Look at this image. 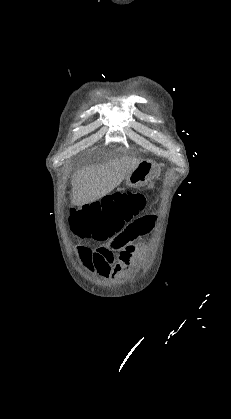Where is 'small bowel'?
<instances>
[{
  "label": "small bowel",
  "mask_w": 231,
  "mask_h": 419,
  "mask_svg": "<svg viewBox=\"0 0 231 419\" xmlns=\"http://www.w3.org/2000/svg\"><path fill=\"white\" fill-rule=\"evenodd\" d=\"M154 224V217L145 216L127 224L108 244L94 251L80 248L78 252L84 267L105 279L125 272L137 257L136 239L148 233ZM115 252L119 253V261L113 266Z\"/></svg>",
  "instance_id": "1"
}]
</instances>
